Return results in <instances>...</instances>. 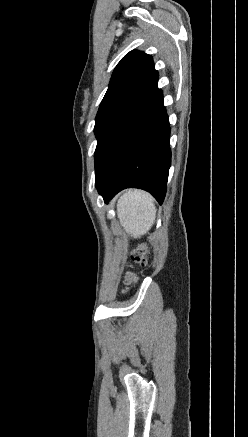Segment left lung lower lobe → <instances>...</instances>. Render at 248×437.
Here are the masks:
<instances>
[{"label": "left lung lower lobe", "instance_id": "0a47b994", "mask_svg": "<svg viewBox=\"0 0 248 437\" xmlns=\"http://www.w3.org/2000/svg\"><path fill=\"white\" fill-rule=\"evenodd\" d=\"M170 124L158 89L114 132L95 174L105 203L125 188L150 192L162 204L171 164Z\"/></svg>", "mask_w": 248, "mask_h": 437}]
</instances>
